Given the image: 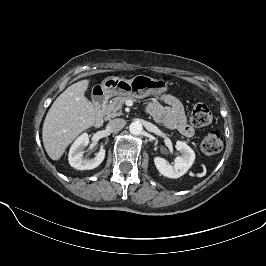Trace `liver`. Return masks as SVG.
<instances>
[{
	"mask_svg": "<svg viewBox=\"0 0 266 266\" xmlns=\"http://www.w3.org/2000/svg\"><path fill=\"white\" fill-rule=\"evenodd\" d=\"M89 80L69 86L52 104L43 123L42 139L52 160H59L67 146L96 121L95 108L85 96Z\"/></svg>",
	"mask_w": 266,
	"mask_h": 266,
	"instance_id": "1",
	"label": "liver"
}]
</instances>
